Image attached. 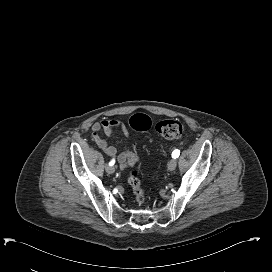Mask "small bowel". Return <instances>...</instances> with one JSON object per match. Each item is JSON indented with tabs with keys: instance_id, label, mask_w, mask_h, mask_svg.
Segmentation results:
<instances>
[{
	"instance_id": "1",
	"label": "small bowel",
	"mask_w": 272,
	"mask_h": 272,
	"mask_svg": "<svg viewBox=\"0 0 272 272\" xmlns=\"http://www.w3.org/2000/svg\"><path fill=\"white\" fill-rule=\"evenodd\" d=\"M117 130L121 131L124 136L129 135V131L122 121L104 119L92 126V138L102 151L116 158L122 168L133 166L138 161V155L135 151L124 148L120 153H117V149L100 135V132L110 135Z\"/></svg>"
}]
</instances>
